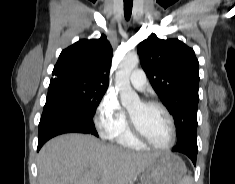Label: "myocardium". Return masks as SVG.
Wrapping results in <instances>:
<instances>
[{"label":"myocardium","mask_w":235,"mask_h":184,"mask_svg":"<svg viewBox=\"0 0 235 184\" xmlns=\"http://www.w3.org/2000/svg\"><path fill=\"white\" fill-rule=\"evenodd\" d=\"M142 104L145 107H158L162 109L165 114L167 115L169 122H170V128H171V135H170V140L165 146H158L154 144L144 133H142L139 128L135 125L132 117H130V124H131V132L134 136L135 139L138 141L142 142L143 144L149 146L150 148L160 151V152H167L170 151L173 146L175 145L176 142V137H177V129H176V122L173 114L169 110L167 106H165L163 103L158 102V101H144Z\"/></svg>","instance_id":"1"}]
</instances>
